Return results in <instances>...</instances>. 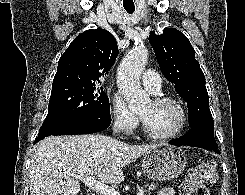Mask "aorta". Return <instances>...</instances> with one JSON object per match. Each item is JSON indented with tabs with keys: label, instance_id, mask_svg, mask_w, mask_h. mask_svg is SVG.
Returning a JSON list of instances; mask_svg holds the SVG:
<instances>
[{
	"label": "aorta",
	"instance_id": "1",
	"mask_svg": "<svg viewBox=\"0 0 245 195\" xmlns=\"http://www.w3.org/2000/svg\"><path fill=\"white\" fill-rule=\"evenodd\" d=\"M148 60L144 45L135 46L122 60L117 70V85L131 111H139L150 102L140 86V75Z\"/></svg>",
	"mask_w": 245,
	"mask_h": 195
}]
</instances>
